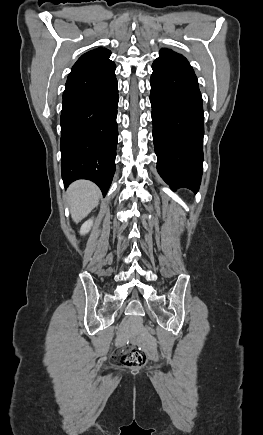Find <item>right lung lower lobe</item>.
Masks as SVG:
<instances>
[{"label":"right lung lower lobe","mask_w":263,"mask_h":435,"mask_svg":"<svg viewBox=\"0 0 263 435\" xmlns=\"http://www.w3.org/2000/svg\"><path fill=\"white\" fill-rule=\"evenodd\" d=\"M116 66L70 76L61 113V168L64 185L95 182L105 195L115 172L118 89Z\"/></svg>","instance_id":"98d812e1"}]
</instances>
